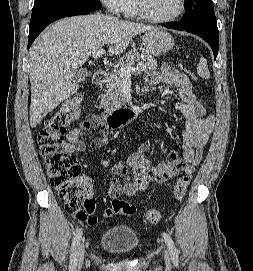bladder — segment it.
I'll return each mask as SVG.
<instances>
[{"label": "bladder", "mask_w": 253, "mask_h": 271, "mask_svg": "<svg viewBox=\"0 0 253 271\" xmlns=\"http://www.w3.org/2000/svg\"><path fill=\"white\" fill-rule=\"evenodd\" d=\"M140 242L139 233L127 225L107 228L100 237L99 245L115 256H127L135 252Z\"/></svg>", "instance_id": "bladder-1"}]
</instances>
